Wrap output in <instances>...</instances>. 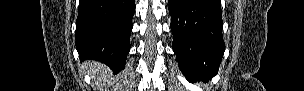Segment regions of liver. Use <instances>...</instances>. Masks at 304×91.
I'll use <instances>...</instances> for the list:
<instances>
[{
  "instance_id": "liver-1",
  "label": "liver",
  "mask_w": 304,
  "mask_h": 91,
  "mask_svg": "<svg viewBox=\"0 0 304 91\" xmlns=\"http://www.w3.org/2000/svg\"><path fill=\"white\" fill-rule=\"evenodd\" d=\"M86 67L89 69L92 78H96L98 75L104 74L106 72V68L96 62H88L86 64Z\"/></svg>"
}]
</instances>
